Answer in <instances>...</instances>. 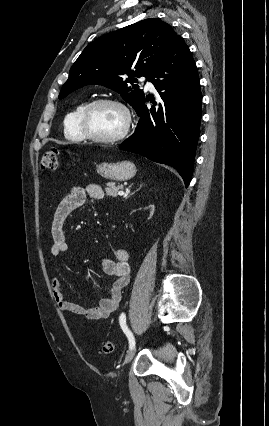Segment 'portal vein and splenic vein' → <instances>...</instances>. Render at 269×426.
<instances>
[{"label": "portal vein and splenic vein", "mask_w": 269, "mask_h": 426, "mask_svg": "<svg viewBox=\"0 0 269 426\" xmlns=\"http://www.w3.org/2000/svg\"><path fill=\"white\" fill-rule=\"evenodd\" d=\"M118 195H119V196H123V195H125V193H124L123 191H119V192H118Z\"/></svg>", "instance_id": "portal-vein-and-splenic-vein-1"}]
</instances>
